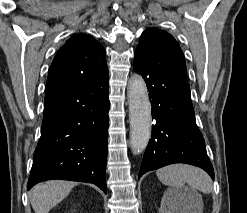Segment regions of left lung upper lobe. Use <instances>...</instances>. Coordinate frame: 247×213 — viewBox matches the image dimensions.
Masks as SVG:
<instances>
[{"label": "left lung upper lobe", "instance_id": "1", "mask_svg": "<svg viewBox=\"0 0 247 213\" xmlns=\"http://www.w3.org/2000/svg\"><path fill=\"white\" fill-rule=\"evenodd\" d=\"M134 62L186 65L184 54L173 36L157 28L142 33Z\"/></svg>", "mask_w": 247, "mask_h": 213}]
</instances>
